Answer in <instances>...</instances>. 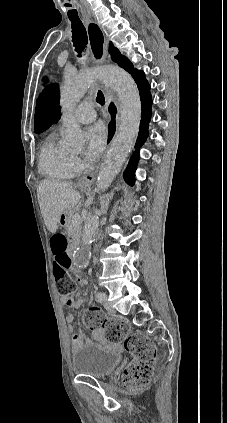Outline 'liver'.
<instances>
[{"mask_svg":"<svg viewBox=\"0 0 227 423\" xmlns=\"http://www.w3.org/2000/svg\"><path fill=\"white\" fill-rule=\"evenodd\" d=\"M37 198L47 229L55 233L62 211L72 210L81 196L67 182L43 180L37 188Z\"/></svg>","mask_w":227,"mask_h":423,"instance_id":"1","label":"liver"}]
</instances>
